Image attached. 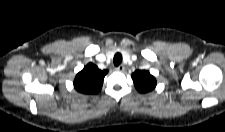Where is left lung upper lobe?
<instances>
[{"label":"left lung upper lobe","mask_w":225,"mask_h":132,"mask_svg":"<svg viewBox=\"0 0 225 132\" xmlns=\"http://www.w3.org/2000/svg\"><path fill=\"white\" fill-rule=\"evenodd\" d=\"M132 79L136 89L145 93L151 91L156 86V79L148 71L138 70L132 74Z\"/></svg>","instance_id":"obj_1"}]
</instances>
